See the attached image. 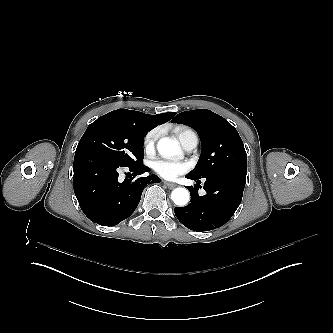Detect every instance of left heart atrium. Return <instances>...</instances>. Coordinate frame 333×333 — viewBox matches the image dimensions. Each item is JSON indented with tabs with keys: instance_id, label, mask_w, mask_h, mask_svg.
Wrapping results in <instances>:
<instances>
[{
	"instance_id": "39dd6f15",
	"label": "left heart atrium",
	"mask_w": 333,
	"mask_h": 333,
	"mask_svg": "<svg viewBox=\"0 0 333 333\" xmlns=\"http://www.w3.org/2000/svg\"><path fill=\"white\" fill-rule=\"evenodd\" d=\"M154 170L163 178L175 179L189 170V164L186 162L157 161Z\"/></svg>"
}]
</instances>
